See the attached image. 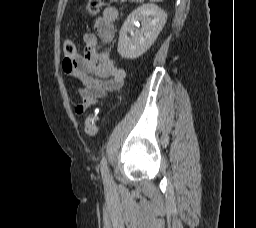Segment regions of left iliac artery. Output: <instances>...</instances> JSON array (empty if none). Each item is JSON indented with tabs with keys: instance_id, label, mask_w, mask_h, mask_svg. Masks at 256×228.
<instances>
[{
	"instance_id": "44dca946",
	"label": "left iliac artery",
	"mask_w": 256,
	"mask_h": 228,
	"mask_svg": "<svg viewBox=\"0 0 256 228\" xmlns=\"http://www.w3.org/2000/svg\"><path fill=\"white\" fill-rule=\"evenodd\" d=\"M100 166H101V174H102L104 184L106 186H110V175H109L107 160H106L105 156L102 157L101 162H100Z\"/></svg>"
}]
</instances>
